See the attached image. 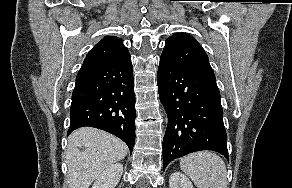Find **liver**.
<instances>
[{
	"instance_id": "1",
	"label": "liver",
	"mask_w": 292,
	"mask_h": 188,
	"mask_svg": "<svg viewBox=\"0 0 292 188\" xmlns=\"http://www.w3.org/2000/svg\"><path fill=\"white\" fill-rule=\"evenodd\" d=\"M127 151L123 141L105 131L92 127L75 130L68 138L66 151L69 187L89 188L107 167L122 160Z\"/></svg>"
}]
</instances>
